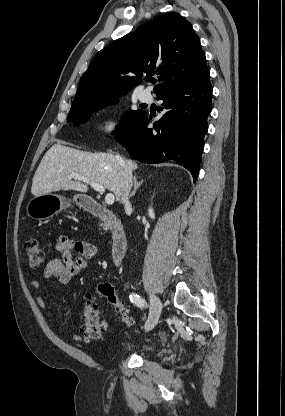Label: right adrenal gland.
Listing matches in <instances>:
<instances>
[{"label":"right adrenal gland","mask_w":285,"mask_h":416,"mask_svg":"<svg viewBox=\"0 0 285 416\" xmlns=\"http://www.w3.org/2000/svg\"><path fill=\"white\" fill-rule=\"evenodd\" d=\"M133 180H134V190L132 194H130V198L131 196H135L136 190H138V188H140L141 184H143L144 182V180H141V182H137V176H134Z\"/></svg>","instance_id":"1"}]
</instances>
